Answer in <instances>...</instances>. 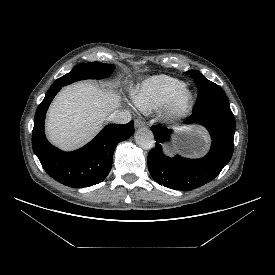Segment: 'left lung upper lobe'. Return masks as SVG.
I'll list each match as a JSON object with an SVG mask.
<instances>
[{
  "label": "left lung upper lobe",
  "instance_id": "obj_1",
  "mask_svg": "<svg viewBox=\"0 0 275 275\" xmlns=\"http://www.w3.org/2000/svg\"><path fill=\"white\" fill-rule=\"evenodd\" d=\"M192 76L199 89L196 106L201 109H230L229 102L222 89L206 79L199 71L186 72Z\"/></svg>",
  "mask_w": 275,
  "mask_h": 275
}]
</instances>
